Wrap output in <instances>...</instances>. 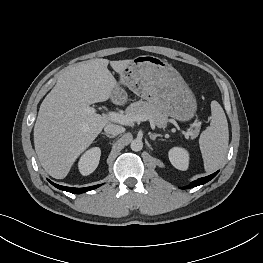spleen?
Masks as SVG:
<instances>
[{
  "mask_svg": "<svg viewBox=\"0 0 263 263\" xmlns=\"http://www.w3.org/2000/svg\"><path fill=\"white\" fill-rule=\"evenodd\" d=\"M212 120L210 126L199 138L204 169L212 173L222 164L228 149L229 130L226 115L217 101L211 102Z\"/></svg>",
  "mask_w": 263,
  "mask_h": 263,
  "instance_id": "1",
  "label": "spleen"
}]
</instances>
